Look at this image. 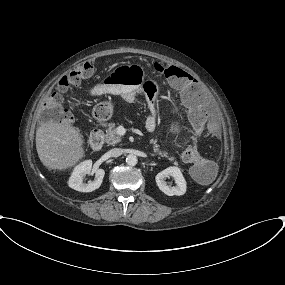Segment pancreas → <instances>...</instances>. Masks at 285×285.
<instances>
[{
    "instance_id": "1",
    "label": "pancreas",
    "mask_w": 285,
    "mask_h": 285,
    "mask_svg": "<svg viewBox=\"0 0 285 285\" xmlns=\"http://www.w3.org/2000/svg\"><path fill=\"white\" fill-rule=\"evenodd\" d=\"M106 133L104 135L105 142L108 145H115L121 142V137L117 134V129L115 127V123H109L107 125ZM150 143L153 144V151L156 154H159L161 157H168L165 151H161L159 149V145L156 143V140L151 139ZM176 164V162H174Z\"/></svg>"
}]
</instances>
